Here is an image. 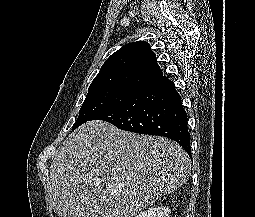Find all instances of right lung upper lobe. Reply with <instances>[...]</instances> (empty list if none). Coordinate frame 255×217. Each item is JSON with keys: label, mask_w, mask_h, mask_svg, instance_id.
Returning <instances> with one entry per match:
<instances>
[{"label": "right lung upper lobe", "mask_w": 255, "mask_h": 217, "mask_svg": "<svg viewBox=\"0 0 255 217\" xmlns=\"http://www.w3.org/2000/svg\"><path fill=\"white\" fill-rule=\"evenodd\" d=\"M163 77L156 56L145 41L124 45L102 65L89 90L112 85L148 86Z\"/></svg>", "instance_id": "obj_1"}]
</instances>
